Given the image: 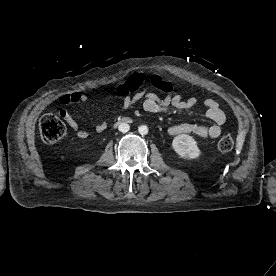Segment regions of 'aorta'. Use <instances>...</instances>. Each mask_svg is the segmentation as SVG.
Wrapping results in <instances>:
<instances>
[{
  "label": "aorta",
  "instance_id": "762f6f07",
  "mask_svg": "<svg viewBox=\"0 0 276 276\" xmlns=\"http://www.w3.org/2000/svg\"><path fill=\"white\" fill-rule=\"evenodd\" d=\"M148 127L146 125H141L138 127V132L141 134V135H146L148 133Z\"/></svg>",
  "mask_w": 276,
  "mask_h": 276
}]
</instances>
